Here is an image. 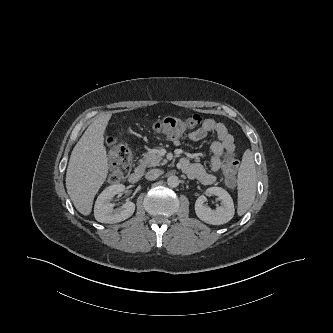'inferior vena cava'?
Instances as JSON below:
<instances>
[{
    "mask_svg": "<svg viewBox=\"0 0 333 333\" xmlns=\"http://www.w3.org/2000/svg\"><path fill=\"white\" fill-rule=\"evenodd\" d=\"M162 174H163V171L160 169H151L146 173L145 178L147 180H155Z\"/></svg>",
    "mask_w": 333,
    "mask_h": 333,
    "instance_id": "1",
    "label": "inferior vena cava"
}]
</instances>
